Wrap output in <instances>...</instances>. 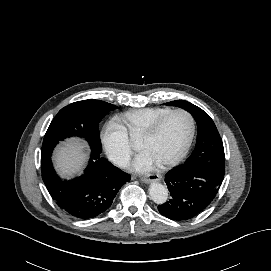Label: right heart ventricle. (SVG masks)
Instances as JSON below:
<instances>
[{"instance_id":"right-heart-ventricle-1","label":"right heart ventricle","mask_w":271,"mask_h":271,"mask_svg":"<svg viewBox=\"0 0 271 271\" xmlns=\"http://www.w3.org/2000/svg\"><path fill=\"white\" fill-rule=\"evenodd\" d=\"M170 107H146L126 111L117 116L118 123L127 134L134 136L142 133L157 119L170 112Z\"/></svg>"}]
</instances>
